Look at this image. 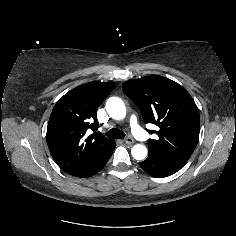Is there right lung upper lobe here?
<instances>
[{
  "instance_id": "cb5924a9",
  "label": "right lung upper lobe",
  "mask_w": 236,
  "mask_h": 236,
  "mask_svg": "<svg viewBox=\"0 0 236 236\" xmlns=\"http://www.w3.org/2000/svg\"><path fill=\"white\" fill-rule=\"evenodd\" d=\"M113 83L90 82L74 88L56 103L47 126L50 153L66 173L79 177L112 149L114 140L91 134L99 123L96 111L113 90Z\"/></svg>"
}]
</instances>
